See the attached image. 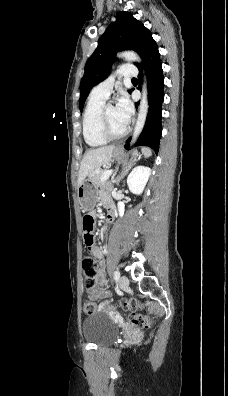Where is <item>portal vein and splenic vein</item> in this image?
Here are the masks:
<instances>
[{
	"mask_svg": "<svg viewBox=\"0 0 228 396\" xmlns=\"http://www.w3.org/2000/svg\"><path fill=\"white\" fill-rule=\"evenodd\" d=\"M112 172H113V170H106V171H104V173H103V175H102V178H101V181H102V182L106 181V180L110 177V175L112 174Z\"/></svg>",
	"mask_w": 228,
	"mask_h": 396,
	"instance_id": "18ae733b",
	"label": "portal vein and splenic vein"
}]
</instances>
